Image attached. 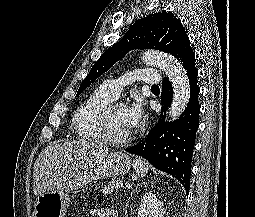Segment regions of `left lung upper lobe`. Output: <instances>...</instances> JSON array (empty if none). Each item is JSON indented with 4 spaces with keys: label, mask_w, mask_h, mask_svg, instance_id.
<instances>
[{
    "label": "left lung upper lobe",
    "mask_w": 255,
    "mask_h": 217,
    "mask_svg": "<svg viewBox=\"0 0 255 217\" xmlns=\"http://www.w3.org/2000/svg\"><path fill=\"white\" fill-rule=\"evenodd\" d=\"M189 45L187 31L179 19L168 12L151 14L136 21L119 42L101 55L82 81L76 96L80 95L130 50L156 49L175 57Z\"/></svg>",
    "instance_id": "5c2ea615"
}]
</instances>
